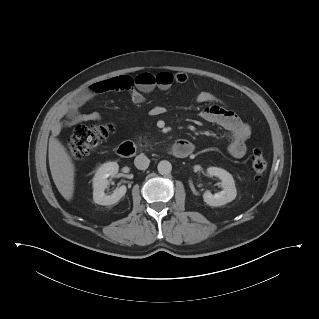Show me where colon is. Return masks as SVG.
Here are the masks:
<instances>
[{
  "label": "colon",
  "mask_w": 319,
  "mask_h": 319,
  "mask_svg": "<svg viewBox=\"0 0 319 319\" xmlns=\"http://www.w3.org/2000/svg\"><path fill=\"white\" fill-rule=\"evenodd\" d=\"M158 74L142 73L135 79H130L123 84V89L128 90L134 86L149 88L157 84ZM114 132L111 123L81 125L75 128L67 142V151L71 157L80 159L93 152L105 139ZM268 167L265 154L256 150L251 157V170L256 179L263 178Z\"/></svg>",
  "instance_id": "colon-1"
}]
</instances>
